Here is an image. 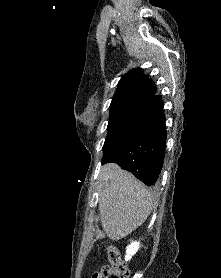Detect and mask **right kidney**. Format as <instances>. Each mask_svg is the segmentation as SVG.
Segmentation results:
<instances>
[{
	"instance_id": "1",
	"label": "right kidney",
	"mask_w": 221,
	"mask_h": 278,
	"mask_svg": "<svg viewBox=\"0 0 221 278\" xmlns=\"http://www.w3.org/2000/svg\"><path fill=\"white\" fill-rule=\"evenodd\" d=\"M139 248H140V243L137 241H132L130 245H128L126 248L125 260L129 261L132 258V256L136 254Z\"/></svg>"
}]
</instances>
